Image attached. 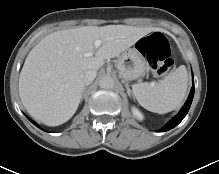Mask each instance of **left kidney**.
Wrapping results in <instances>:
<instances>
[{"label": "left kidney", "mask_w": 219, "mask_h": 174, "mask_svg": "<svg viewBox=\"0 0 219 174\" xmlns=\"http://www.w3.org/2000/svg\"><path fill=\"white\" fill-rule=\"evenodd\" d=\"M132 113L135 117H137L139 119L143 118L142 113L135 107L132 108Z\"/></svg>", "instance_id": "obj_1"}]
</instances>
